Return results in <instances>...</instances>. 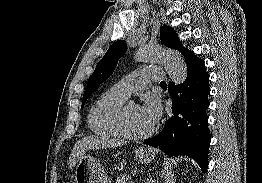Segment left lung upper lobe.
Masks as SVG:
<instances>
[{"mask_svg":"<svg viewBox=\"0 0 262 183\" xmlns=\"http://www.w3.org/2000/svg\"><path fill=\"white\" fill-rule=\"evenodd\" d=\"M161 42L171 48L179 50L184 57H187L192 52L182 47L180 40L174 29L170 26H162L160 29ZM126 42L123 40L116 41L107 50L103 58L98 62L94 73L90 76L84 96L82 99V108L93 92L99 87L100 83L105 81L114 71L117 62L121 56L126 52Z\"/></svg>","mask_w":262,"mask_h":183,"instance_id":"5c2ea615","label":"left lung upper lobe"}]
</instances>
